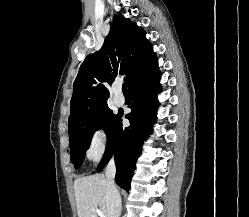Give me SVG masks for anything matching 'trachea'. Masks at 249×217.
I'll return each mask as SVG.
<instances>
[{
    "label": "trachea",
    "instance_id": "obj_1",
    "mask_svg": "<svg viewBox=\"0 0 249 217\" xmlns=\"http://www.w3.org/2000/svg\"><path fill=\"white\" fill-rule=\"evenodd\" d=\"M122 91H123L124 94H128V89H127V84H126V82L123 83V85H122Z\"/></svg>",
    "mask_w": 249,
    "mask_h": 217
}]
</instances>
